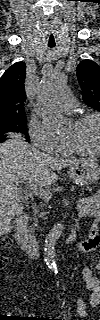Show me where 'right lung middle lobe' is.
<instances>
[{"mask_svg":"<svg viewBox=\"0 0 100 320\" xmlns=\"http://www.w3.org/2000/svg\"><path fill=\"white\" fill-rule=\"evenodd\" d=\"M7 132H18L25 135L26 139L29 141L28 129L26 127V116L14 117L0 120V135L5 137L4 134ZM1 139L0 141H4Z\"/></svg>","mask_w":100,"mask_h":320,"instance_id":"obj_1","label":"right lung middle lobe"}]
</instances>
